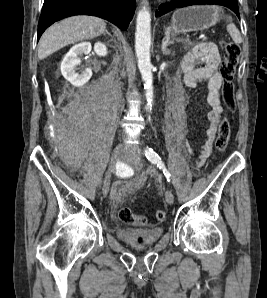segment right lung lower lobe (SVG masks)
<instances>
[{
  "instance_id": "1",
  "label": "right lung lower lobe",
  "mask_w": 267,
  "mask_h": 298,
  "mask_svg": "<svg viewBox=\"0 0 267 298\" xmlns=\"http://www.w3.org/2000/svg\"><path fill=\"white\" fill-rule=\"evenodd\" d=\"M134 10L135 0H44L37 40L51 24L74 15L101 17L126 30Z\"/></svg>"
}]
</instances>
